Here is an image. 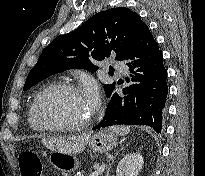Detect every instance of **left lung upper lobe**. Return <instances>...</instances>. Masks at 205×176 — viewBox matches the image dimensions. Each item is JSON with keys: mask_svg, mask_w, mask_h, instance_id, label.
Segmentation results:
<instances>
[{"mask_svg": "<svg viewBox=\"0 0 205 176\" xmlns=\"http://www.w3.org/2000/svg\"><path fill=\"white\" fill-rule=\"evenodd\" d=\"M145 23L127 8H112L95 14L76 30L56 37L31 69L23 90L46 77L74 68L95 72L96 61L116 55L122 60ZM115 83L105 85L108 95Z\"/></svg>", "mask_w": 205, "mask_h": 176, "instance_id": "5c2ea615", "label": "left lung upper lobe"}]
</instances>
